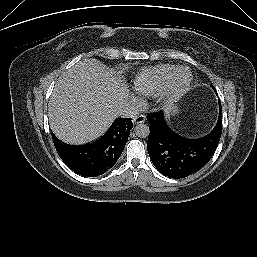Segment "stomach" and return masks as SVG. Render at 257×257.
<instances>
[{
	"label": "stomach",
	"mask_w": 257,
	"mask_h": 257,
	"mask_svg": "<svg viewBox=\"0 0 257 257\" xmlns=\"http://www.w3.org/2000/svg\"><path fill=\"white\" fill-rule=\"evenodd\" d=\"M166 112L169 114V115H174L178 112V107L172 103V102H169L167 105H166V108H165Z\"/></svg>",
	"instance_id": "0dacf381"
}]
</instances>
